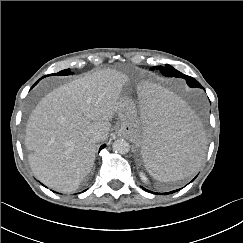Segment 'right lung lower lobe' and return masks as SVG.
Returning <instances> with one entry per match:
<instances>
[{"instance_id":"98d812e1","label":"right lung lower lobe","mask_w":243,"mask_h":243,"mask_svg":"<svg viewBox=\"0 0 243 243\" xmlns=\"http://www.w3.org/2000/svg\"><path fill=\"white\" fill-rule=\"evenodd\" d=\"M104 147H105V145H102V146L100 147V150H102ZM100 150H99V151H100Z\"/></svg>"}]
</instances>
